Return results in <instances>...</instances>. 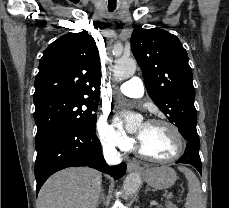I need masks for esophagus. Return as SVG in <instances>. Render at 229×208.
<instances>
[{
	"label": "esophagus",
	"instance_id": "obj_1",
	"mask_svg": "<svg viewBox=\"0 0 229 208\" xmlns=\"http://www.w3.org/2000/svg\"><path fill=\"white\" fill-rule=\"evenodd\" d=\"M137 169H139V165L136 162L131 161L127 163V170L129 172L136 171Z\"/></svg>",
	"mask_w": 229,
	"mask_h": 208
}]
</instances>
